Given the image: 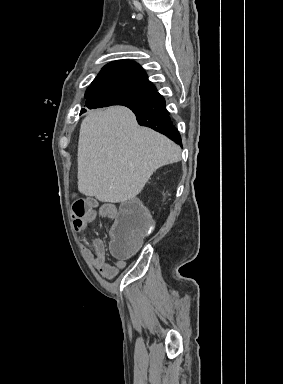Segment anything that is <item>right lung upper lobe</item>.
Listing matches in <instances>:
<instances>
[{"mask_svg": "<svg viewBox=\"0 0 283 384\" xmlns=\"http://www.w3.org/2000/svg\"><path fill=\"white\" fill-rule=\"evenodd\" d=\"M100 85H118L156 92L142 67L129 60L115 61L106 65L90 87Z\"/></svg>", "mask_w": 283, "mask_h": 384, "instance_id": "right-lung-upper-lobe-1", "label": "right lung upper lobe"}]
</instances>
